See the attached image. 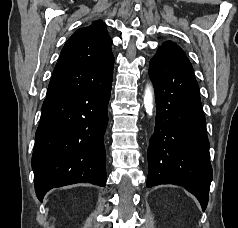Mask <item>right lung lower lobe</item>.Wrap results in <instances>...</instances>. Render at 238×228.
<instances>
[{
	"label": "right lung lower lobe",
	"instance_id": "obj_1",
	"mask_svg": "<svg viewBox=\"0 0 238 228\" xmlns=\"http://www.w3.org/2000/svg\"><path fill=\"white\" fill-rule=\"evenodd\" d=\"M113 71L90 87L47 97L32 155L34 184L42 201L55 187L106 184L104 133Z\"/></svg>",
	"mask_w": 238,
	"mask_h": 228
}]
</instances>
